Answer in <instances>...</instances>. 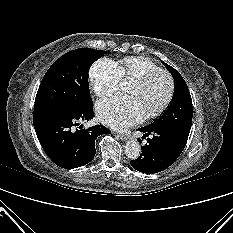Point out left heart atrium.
I'll list each match as a JSON object with an SVG mask.
<instances>
[{
	"label": "left heart atrium",
	"mask_w": 233,
	"mask_h": 233,
	"mask_svg": "<svg viewBox=\"0 0 233 233\" xmlns=\"http://www.w3.org/2000/svg\"><path fill=\"white\" fill-rule=\"evenodd\" d=\"M99 120L112 128L122 129L139 123L146 112L136 96H115L96 106Z\"/></svg>",
	"instance_id": "39dd6f15"
}]
</instances>
